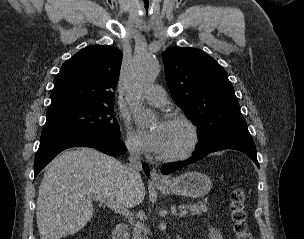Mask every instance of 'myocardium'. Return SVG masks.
Returning a JSON list of instances; mask_svg holds the SVG:
<instances>
[{
    "instance_id": "myocardium-1",
    "label": "myocardium",
    "mask_w": 304,
    "mask_h": 239,
    "mask_svg": "<svg viewBox=\"0 0 304 239\" xmlns=\"http://www.w3.org/2000/svg\"><path fill=\"white\" fill-rule=\"evenodd\" d=\"M169 122L183 125L188 132L186 145L173 153L159 154L158 158L166 162H175L190 157L197 149L200 142V131L197 124L184 115H175L169 118Z\"/></svg>"
}]
</instances>
